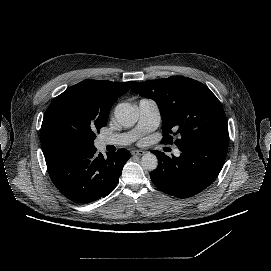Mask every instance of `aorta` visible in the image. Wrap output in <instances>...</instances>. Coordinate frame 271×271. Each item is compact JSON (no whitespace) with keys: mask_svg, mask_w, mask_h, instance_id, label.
Listing matches in <instances>:
<instances>
[{"mask_svg":"<svg viewBox=\"0 0 271 271\" xmlns=\"http://www.w3.org/2000/svg\"><path fill=\"white\" fill-rule=\"evenodd\" d=\"M117 122L123 127H132L139 118V114L130 103H120L115 107L114 112ZM158 159L156 155L147 152L141 158L143 169L153 171L157 168Z\"/></svg>","mask_w":271,"mask_h":271,"instance_id":"obj_1","label":"aorta"}]
</instances>
